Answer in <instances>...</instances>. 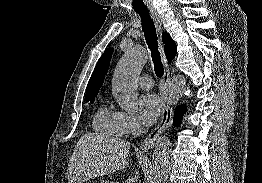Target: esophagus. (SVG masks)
I'll return each instance as SVG.
<instances>
[{
    "instance_id": "esophagus-1",
    "label": "esophagus",
    "mask_w": 262,
    "mask_h": 183,
    "mask_svg": "<svg viewBox=\"0 0 262 183\" xmlns=\"http://www.w3.org/2000/svg\"><path fill=\"white\" fill-rule=\"evenodd\" d=\"M151 17L155 23L158 32L160 33L162 22L159 14L156 11H151ZM160 49L162 52V60L165 68L163 79H162V85H161V90L163 91L166 88L167 83L169 82L170 71H169L168 61L163 52L161 43H160ZM172 114H173L172 108L165 101L162 100V113H161L160 122L157 125V127L141 143L140 150L148 151L154 146L156 139L169 128L172 121Z\"/></svg>"
}]
</instances>
